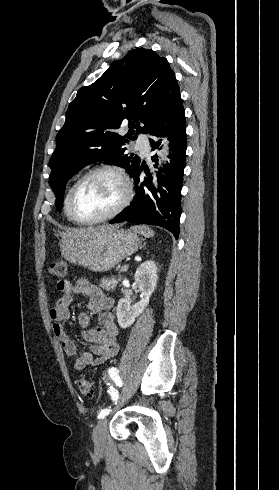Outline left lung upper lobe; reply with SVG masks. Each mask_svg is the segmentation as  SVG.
I'll use <instances>...</instances> for the list:
<instances>
[{
    "mask_svg": "<svg viewBox=\"0 0 279 490\" xmlns=\"http://www.w3.org/2000/svg\"><path fill=\"white\" fill-rule=\"evenodd\" d=\"M179 97L167 59L144 48L130 50L96 82L79 89L50 159L49 184L57 210L62 208L67 181L88 164L105 160L124 167L132 176L140 158L125 154L123 146L139 133H148ZM123 120L130 130L121 136L117 130Z\"/></svg>",
    "mask_w": 279,
    "mask_h": 490,
    "instance_id": "5c2ea615",
    "label": "left lung upper lobe"
}]
</instances>
